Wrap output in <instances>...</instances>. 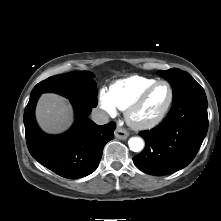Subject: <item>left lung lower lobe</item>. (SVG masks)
Here are the masks:
<instances>
[{"label":"left lung lower lobe","instance_id":"1","mask_svg":"<svg viewBox=\"0 0 221 221\" xmlns=\"http://www.w3.org/2000/svg\"><path fill=\"white\" fill-rule=\"evenodd\" d=\"M207 130V98L201 87L173 99L165 120L155 129L140 132L145 149L133 162L147 174L174 173L194 159Z\"/></svg>","mask_w":221,"mask_h":221}]
</instances>
